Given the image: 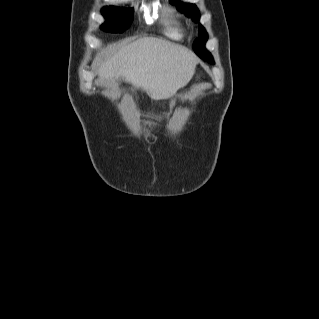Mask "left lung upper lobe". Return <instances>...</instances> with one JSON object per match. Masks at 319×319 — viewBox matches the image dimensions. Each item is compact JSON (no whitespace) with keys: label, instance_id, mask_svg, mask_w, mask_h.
<instances>
[{"label":"left lung upper lobe","instance_id":"1","mask_svg":"<svg viewBox=\"0 0 319 319\" xmlns=\"http://www.w3.org/2000/svg\"><path fill=\"white\" fill-rule=\"evenodd\" d=\"M170 3L176 5L178 7V10L184 12L188 17H191L194 22L199 21L200 15L196 5L190 3H182L176 0H171ZM207 38V32L205 31L204 27L201 24H199L198 38L195 40L193 44V49L196 52V54H198L199 52L204 54L208 58L206 60L212 63L213 58L211 54L204 48Z\"/></svg>","mask_w":319,"mask_h":319}]
</instances>
